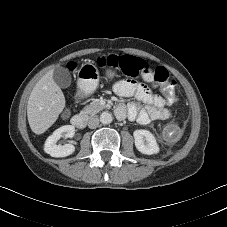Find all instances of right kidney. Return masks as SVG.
<instances>
[{
    "label": "right kidney",
    "mask_w": 227,
    "mask_h": 227,
    "mask_svg": "<svg viewBox=\"0 0 227 227\" xmlns=\"http://www.w3.org/2000/svg\"><path fill=\"white\" fill-rule=\"evenodd\" d=\"M75 134V127L72 125H64L56 129L49 136L44 144V151L52 157H66L75 151L73 144L57 145L56 142L60 138H72Z\"/></svg>",
    "instance_id": "ca27d5eb"
}]
</instances>
